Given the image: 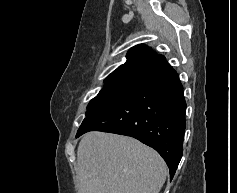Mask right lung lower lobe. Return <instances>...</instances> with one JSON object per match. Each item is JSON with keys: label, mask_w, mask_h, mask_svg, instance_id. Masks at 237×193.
Instances as JSON below:
<instances>
[{"label": "right lung lower lobe", "mask_w": 237, "mask_h": 193, "mask_svg": "<svg viewBox=\"0 0 237 193\" xmlns=\"http://www.w3.org/2000/svg\"><path fill=\"white\" fill-rule=\"evenodd\" d=\"M185 109L179 77L161 55L125 100L85 118L76 137L93 130L134 137L163 157L172 179L183 154Z\"/></svg>", "instance_id": "1"}]
</instances>
